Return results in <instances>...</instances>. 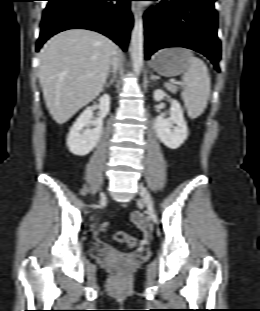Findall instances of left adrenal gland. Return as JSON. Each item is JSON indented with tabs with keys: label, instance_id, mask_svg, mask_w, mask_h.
Masks as SVG:
<instances>
[{
	"label": "left adrenal gland",
	"instance_id": "1",
	"mask_svg": "<svg viewBox=\"0 0 260 311\" xmlns=\"http://www.w3.org/2000/svg\"><path fill=\"white\" fill-rule=\"evenodd\" d=\"M150 79L153 80V81H155V77H154L153 73H151Z\"/></svg>",
	"mask_w": 260,
	"mask_h": 311
}]
</instances>
